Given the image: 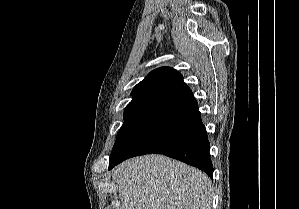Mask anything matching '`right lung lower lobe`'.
I'll return each mask as SVG.
<instances>
[{"mask_svg":"<svg viewBox=\"0 0 299 209\" xmlns=\"http://www.w3.org/2000/svg\"><path fill=\"white\" fill-rule=\"evenodd\" d=\"M209 148L198 103L185 85L157 106L136 134L109 160L108 169L130 157L158 153L197 167L212 178Z\"/></svg>","mask_w":299,"mask_h":209,"instance_id":"obj_1","label":"right lung lower lobe"}]
</instances>
